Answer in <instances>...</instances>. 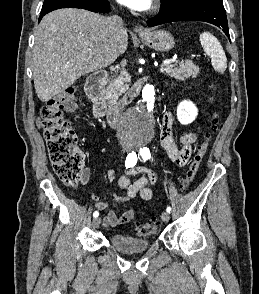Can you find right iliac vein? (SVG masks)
Returning a JSON list of instances; mask_svg holds the SVG:
<instances>
[{
  "instance_id": "63e3f726",
  "label": "right iliac vein",
  "mask_w": 259,
  "mask_h": 294,
  "mask_svg": "<svg viewBox=\"0 0 259 294\" xmlns=\"http://www.w3.org/2000/svg\"><path fill=\"white\" fill-rule=\"evenodd\" d=\"M100 223H101V218L100 217H96V218H94V220L92 222V225H93L94 228H98L99 225H100Z\"/></svg>"
}]
</instances>
